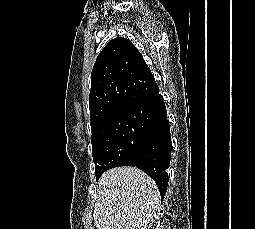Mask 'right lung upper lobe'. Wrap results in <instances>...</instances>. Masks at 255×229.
I'll return each instance as SVG.
<instances>
[{
  "mask_svg": "<svg viewBox=\"0 0 255 229\" xmlns=\"http://www.w3.org/2000/svg\"><path fill=\"white\" fill-rule=\"evenodd\" d=\"M155 88L154 77L132 42L121 37L109 41L91 73L92 132L114 114L150 96Z\"/></svg>",
  "mask_w": 255,
  "mask_h": 229,
  "instance_id": "1",
  "label": "right lung upper lobe"
}]
</instances>
